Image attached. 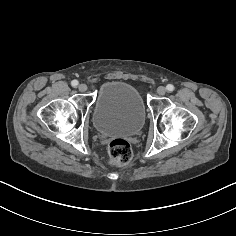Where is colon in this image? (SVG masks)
<instances>
[{
  "label": "colon",
  "mask_w": 236,
  "mask_h": 236,
  "mask_svg": "<svg viewBox=\"0 0 236 236\" xmlns=\"http://www.w3.org/2000/svg\"><path fill=\"white\" fill-rule=\"evenodd\" d=\"M109 162L113 165H126L132 159V149L130 144L122 139L116 138L108 146Z\"/></svg>",
  "instance_id": "5ec220e1"
}]
</instances>
